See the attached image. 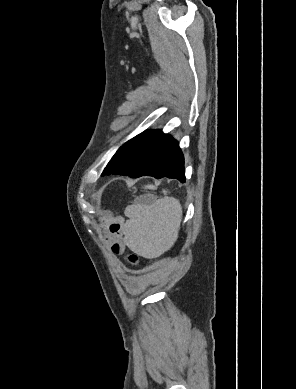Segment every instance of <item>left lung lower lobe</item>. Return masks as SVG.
Here are the masks:
<instances>
[{
	"label": "left lung lower lobe",
	"instance_id": "1",
	"mask_svg": "<svg viewBox=\"0 0 296 389\" xmlns=\"http://www.w3.org/2000/svg\"><path fill=\"white\" fill-rule=\"evenodd\" d=\"M131 178H175L184 183V156L179 143L160 130L145 131L123 144L102 173Z\"/></svg>",
	"mask_w": 296,
	"mask_h": 389
}]
</instances>
